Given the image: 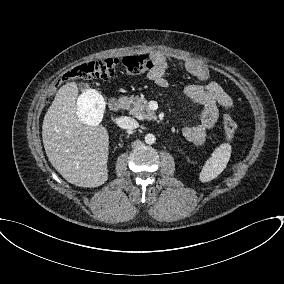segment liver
Returning <instances> with one entry per match:
<instances>
[{
  "instance_id": "obj_1",
  "label": "liver",
  "mask_w": 284,
  "mask_h": 284,
  "mask_svg": "<svg viewBox=\"0 0 284 284\" xmlns=\"http://www.w3.org/2000/svg\"><path fill=\"white\" fill-rule=\"evenodd\" d=\"M78 87H60L45 114L42 139L52 166L69 183L98 187L108 179L109 136L102 125L88 126L77 116Z\"/></svg>"
}]
</instances>
